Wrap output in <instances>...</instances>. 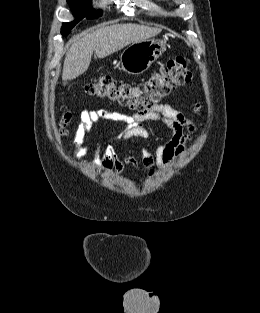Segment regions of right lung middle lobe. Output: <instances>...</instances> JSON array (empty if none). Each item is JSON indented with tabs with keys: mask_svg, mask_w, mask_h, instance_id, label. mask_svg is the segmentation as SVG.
I'll return each mask as SVG.
<instances>
[{
	"mask_svg": "<svg viewBox=\"0 0 260 313\" xmlns=\"http://www.w3.org/2000/svg\"><path fill=\"white\" fill-rule=\"evenodd\" d=\"M73 15L76 17L75 21L64 23L61 28L62 35L66 36L71 32V29L76 25L78 21L85 17L88 19L99 17V12H93L91 7V0H67Z\"/></svg>",
	"mask_w": 260,
	"mask_h": 313,
	"instance_id": "dd1d6c3e",
	"label": "right lung middle lobe"
}]
</instances>
